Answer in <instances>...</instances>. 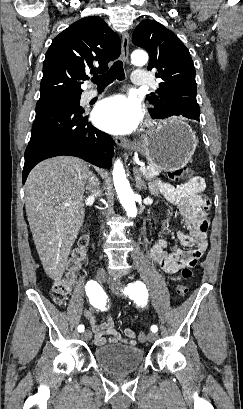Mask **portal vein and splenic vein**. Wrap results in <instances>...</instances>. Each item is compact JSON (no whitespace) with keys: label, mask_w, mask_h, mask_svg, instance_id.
Here are the masks:
<instances>
[{"label":"portal vein and splenic vein","mask_w":243,"mask_h":409,"mask_svg":"<svg viewBox=\"0 0 243 409\" xmlns=\"http://www.w3.org/2000/svg\"><path fill=\"white\" fill-rule=\"evenodd\" d=\"M145 170H146V167H145V166L140 167V171H141V172H144Z\"/></svg>","instance_id":"portal-vein-and-splenic-vein-1"}]
</instances>
